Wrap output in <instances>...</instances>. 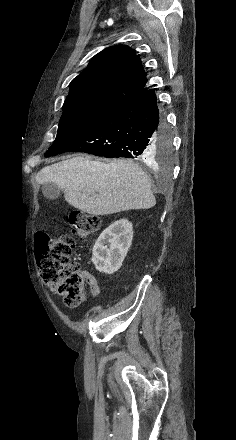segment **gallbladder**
Wrapping results in <instances>:
<instances>
[{
    "instance_id": "gallbladder-1",
    "label": "gallbladder",
    "mask_w": 236,
    "mask_h": 440,
    "mask_svg": "<svg viewBox=\"0 0 236 440\" xmlns=\"http://www.w3.org/2000/svg\"><path fill=\"white\" fill-rule=\"evenodd\" d=\"M42 193L48 200H56L61 195V189L54 183H45L42 186Z\"/></svg>"
}]
</instances>
